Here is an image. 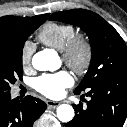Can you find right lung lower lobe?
<instances>
[{"label":"right lung lower lobe","instance_id":"1","mask_svg":"<svg viewBox=\"0 0 127 127\" xmlns=\"http://www.w3.org/2000/svg\"><path fill=\"white\" fill-rule=\"evenodd\" d=\"M46 104L38 98H11L10 93L0 95V127H33V122L45 111Z\"/></svg>","mask_w":127,"mask_h":127}]
</instances>
